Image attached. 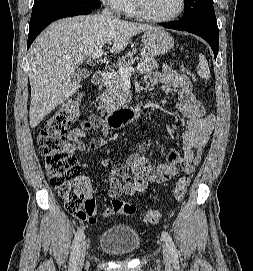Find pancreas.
Masks as SVG:
<instances>
[{
	"mask_svg": "<svg viewBox=\"0 0 253 271\" xmlns=\"http://www.w3.org/2000/svg\"><path fill=\"white\" fill-rule=\"evenodd\" d=\"M136 51L129 52L127 57L122 58L118 66L130 67L134 63L133 54ZM140 63L145 66L144 71H150L158 69L159 65L152 55H150L146 50H142L140 56ZM124 79L120 76L118 71H113L109 73L104 81V86L106 87L104 93L100 94L97 100L99 101V106L106 110L115 109L126 102V96L123 92Z\"/></svg>",
	"mask_w": 253,
	"mask_h": 271,
	"instance_id": "obj_1",
	"label": "pancreas"
}]
</instances>
